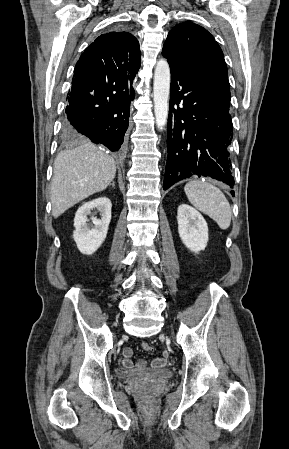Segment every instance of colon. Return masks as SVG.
Masks as SVG:
<instances>
[{
    "instance_id": "1",
    "label": "colon",
    "mask_w": 289,
    "mask_h": 449,
    "mask_svg": "<svg viewBox=\"0 0 289 449\" xmlns=\"http://www.w3.org/2000/svg\"><path fill=\"white\" fill-rule=\"evenodd\" d=\"M142 348L145 350V351H151L153 348H152V346L149 344V343H147V342H144L143 344H142Z\"/></svg>"
}]
</instances>
